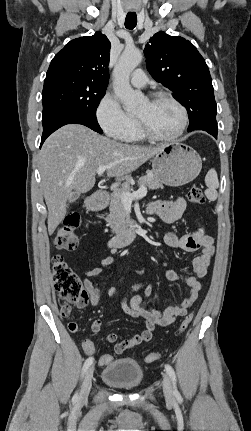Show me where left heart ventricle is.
I'll return each mask as SVG.
<instances>
[{
    "label": "left heart ventricle",
    "instance_id": "b2bd125f",
    "mask_svg": "<svg viewBox=\"0 0 251 431\" xmlns=\"http://www.w3.org/2000/svg\"><path fill=\"white\" fill-rule=\"evenodd\" d=\"M147 126L156 134L168 136L175 133L181 123L179 109L168 101L157 103L143 102L135 112Z\"/></svg>",
    "mask_w": 251,
    "mask_h": 431
}]
</instances>
